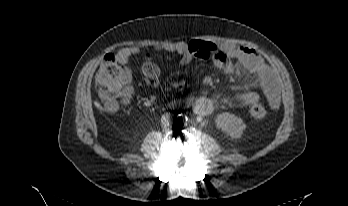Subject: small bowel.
<instances>
[{
  "label": "small bowel",
  "mask_w": 348,
  "mask_h": 206,
  "mask_svg": "<svg viewBox=\"0 0 348 206\" xmlns=\"http://www.w3.org/2000/svg\"><path fill=\"white\" fill-rule=\"evenodd\" d=\"M154 49L179 55L182 65H187L194 59H201L212 62L224 72H230L233 63L238 62L245 70L257 77L264 89L270 108L276 110L280 105V88L275 73L255 50L247 46L223 47L203 40H192L190 42H164ZM129 54V50L122 51L118 54V58L121 62L127 63ZM137 74L147 88L157 89L159 87V76ZM259 101L260 95L254 91H242L233 98V103L236 105H253Z\"/></svg>",
  "instance_id": "small-bowel-1"
}]
</instances>
